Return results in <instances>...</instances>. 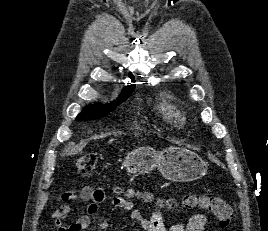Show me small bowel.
Listing matches in <instances>:
<instances>
[{"label":"small bowel","instance_id":"obj_1","mask_svg":"<svg viewBox=\"0 0 268 231\" xmlns=\"http://www.w3.org/2000/svg\"><path fill=\"white\" fill-rule=\"evenodd\" d=\"M108 192L104 187H84L78 196L82 200L90 202L87 213L81 215L71 224L65 223L70 214L71 207L63 204L52 215V221L57 231H87L91 227H99L108 231L109 224L106 220L95 219L100 206L106 201ZM116 207L130 211L131 218L141 225L144 231H208L209 222L205 215L195 214L186 223H177L167 228L163 219V207L156 206L151 216L146 218L142 212L134 208L129 200L117 198Z\"/></svg>","mask_w":268,"mask_h":231}]
</instances>
